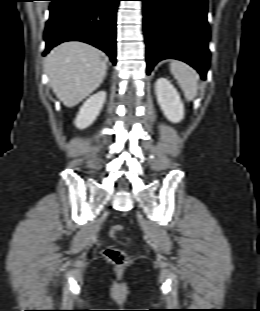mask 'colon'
<instances>
[{
	"instance_id": "colon-1",
	"label": "colon",
	"mask_w": 260,
	"mask_h": 311,
	"mask_svg": "<svg viewBox=\"0 0 260 311\" xmlns=\"http://www.w3.org/2000/svg\"><path fill=\"white\" fill-rule=\"evenodd\" d=\"M123 231L121 225H113L111 228V235L117 236ZM104 257L113 265L123 266L127 263V254L119 248H106L103 252Z\"/></svg>"
}]
</instances>
